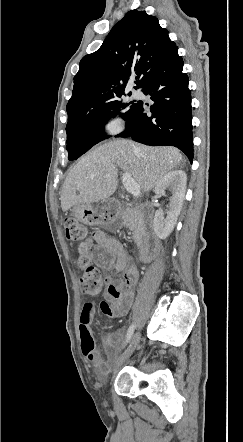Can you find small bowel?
Here are the masks:
<instances>
[{"mask_svg": "<svg viewBox=\"0 0 243 442\" xmlns=\"http://www.w3.org/2000/svg\"><path fill=\"white\" fill-rule=\"evenodd\" d=\"M92 237L98 247L92 254L93 262L104 269H113L119 279L106 278L107 289L104 300L99 304L101 312L111 319L122 318L129 311L134 300V286L139 279L136 265L121 243L102 230H95ZM96 305L87 301L82 305L79 315L81 350L95 371L105 375L109 370V359H114L122 340L120 334L103 338L106 358L96 347L91 324L95 317Z\"/></svg>", "mask_w": 243, "mask_h": 442, "instance_id": "obj_1", "label": "small bowel"}]
</instances>
